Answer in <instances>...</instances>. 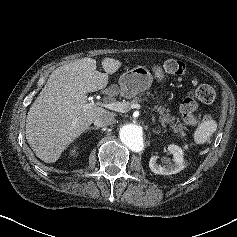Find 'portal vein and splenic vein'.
Returning a JSON list of instances; mask_svg holds the SVG:
<instances>
[{"label": "portal vein and splenic vein", "mask_w": 237, "mask_h": 237, "mask_svg": "<svg viewBox=\"0 0 237 237\" xmlns=\"http://www.w3.org/2000/svg\"><path fill=\"white\" fill-rule=\"evenodd\" d=\"M97 105H101L107 109L117 111V112H122V113H126L130 109H141L140 104H137V103L129 104L127 102H110V103L97 102ZM151 120L154 124L156 123L154 115H152Z\"/></svg>", "instance_id": "obj_1"}]
</instances>
